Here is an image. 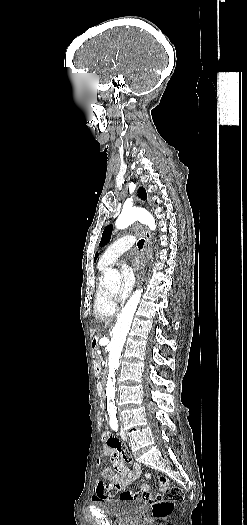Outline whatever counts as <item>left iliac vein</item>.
<instances>
[{
	"mask_svg": "<svg viewBox=\"0 0 247 525\" xmlns=\"http://www.w3.org/2000/svg\"><path fill=\"white\" fill-rule=\"evenodd\" d=\"M120 436H121V438H122L124 441L127 440V437H126V435H125V433H124L123 431L120 432Z\"/></svg>",
	"mask_w": 247,
	"mask_h": 525,
	"instance_id": "1",
	"label": "left iliac vein"
}]
</instances>
